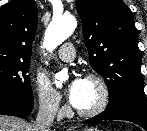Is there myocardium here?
I'll return each mask as SVG.
<instances>
[{
    "label": "myocardium",
    "mask_w": 147,
    "mask_h": 131,
    "mask_svg": "<svg viewBox=\"0 0 147 131\" xmlns=\"http://www.w3.org/2000/svg\"><path fill=\"white\" fill-rule=\"evenodd\" d=\"M86 80L93 82L97 86L99 90V100L92 108L86 110L76 108V112L81 117L91 118L101 114L108 107L110 102V89L105 79L97 73L87 74Z\"/></svg>",
    "instance_id": "f54148a6"
}]
</instances>
